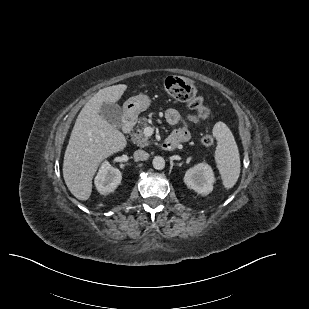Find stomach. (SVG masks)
<instances>
[{"label": "stomach", "mask_w": 309, "mask_h": 309, "mask_svg": "<svg viewBox=\"0 0 309 309\" xmlns=\"http://www.w3.org/2000/svg\"><path fill=\"white\" fill-rule=\"evenodd\" d=\"M151 100L146 94H139L129 98L123 105L125 115L136 118L150 106Z\"/></svg>", "instance_id": "stomach-1"}]
</instances>
